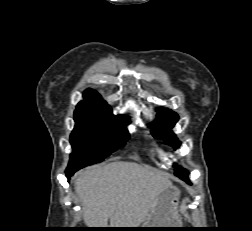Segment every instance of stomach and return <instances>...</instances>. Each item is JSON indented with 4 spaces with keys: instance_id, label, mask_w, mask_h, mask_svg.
Instances as JSON below:
<instances>
[{
    "instance_id": "1",
    "label": "stomach",
    "mask_w": 252,
    "mask_h": 231,
    "mask_svg": "<svg viewBox=\"0 0 252 231\" xmlns=\"http://www.w3.org/2000/svg\"><path fill=\"white\" fill-rule=\"evenodd\" d=\"M179 192L172 185L164 189L158 197L157 203L150 213L145 223L138 228L140 230H163L170 231L174 229H153V228H179L177 218Z\"/></svg>"
}]
</instances>
